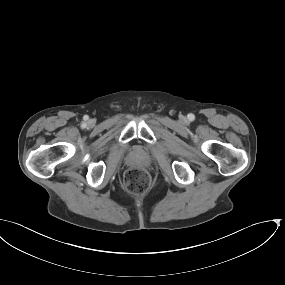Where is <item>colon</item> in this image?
<instances>
[{
  "mask_svg": "<svg viewBox=\"0 0 285 285\" xmlns=\"http://www.w3.org/2000/svg\"><path fill=\"white\" fill-rule=\"evenodd\" d=\"M124 185L130 193L143 195L151 187V177L142 168H131L125 173Z\"/></svg>",
  "mask_w": 285,
  "mask_h": 285,
  "instance_id": "colon-1",
  "label": "colon"
}]
</instances>
